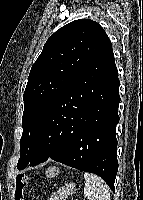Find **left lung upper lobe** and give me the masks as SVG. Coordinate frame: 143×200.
Returning <instances> with one entry per match:
<instances>
[{
	"instance_id": "obj_1",
	"label": "left lung upper lobe",
	"mask_w": 143,
	"mask_h": 200,
	"mask_svg": "<svg viewBox=\"0 0 143 200\" xmlns=\"http://www.w3.org/2000/svg\"><path fill=\"white\" fill-rule=\"evenodd\" d=\"M108 43L110 39L103 28L89 19L75 20L63 26L46 41L31 68L23 95L19 170L24 169L32 158L44 114ZM64 111L57 116L60 118Z\"/></svg>"
}]
</instances>
